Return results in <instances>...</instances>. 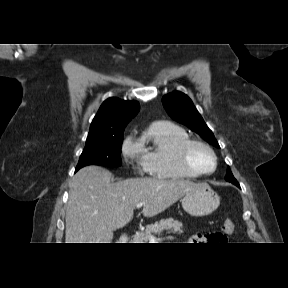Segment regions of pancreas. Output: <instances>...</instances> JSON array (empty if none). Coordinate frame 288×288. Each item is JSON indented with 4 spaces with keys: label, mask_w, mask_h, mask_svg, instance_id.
Returning <instances> with one entry per match:
<instances>
[{
    "label": "pancreas",
    "mask_w": 288,
    "mask_h": 288,
    "mask_svg": "<svg viewBox=\"0 0 288 288\" xmlns=\"http://www.w3.org/2000/svg\"><path fill=\"white\" fill-rule=\"evenodd\" d=\"M183 224L173 218L161 219L159 222L147 225L145 231L137 232L134 237V243H147L153 234H160L166 230L168 233H183Z\"/></svg>",
    "instance_id": "obj_1"
}]
</instances>
